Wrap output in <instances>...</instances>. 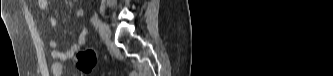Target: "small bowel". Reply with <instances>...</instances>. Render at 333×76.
<instances>
[{
	"mask_svg": "<svg viewBox=\"0 0 333 76\" xmlns=\"http://www.w3.org/2000/svg\"><path fill=\"white\" fill-rule=\"evenodd\" d=\"M37 5L41 9H47L49 5V1L47 0H37ZM84 14V10L82 8H79L75 12L76 18H81ZM48 23L51 25L52 28L55 30L57 29V20L55 17H49ZM87 34L88 31L86 27L81 26L80 34L77 38V41L73 43L69 48H67L65 51H60L58 49V41L57 40H51L49 42V47L51 49L50 55L53 60L56 61H68L71 60L75 54L79 51V49L84 46L87 42ZM52 71L54 76H61L63 74V65L60 62H55L52 65Z\"/></svg>",
	"mask_w": 333,
	"mask_h": 76,
	"instance_id": "small-bowel-1",
	"label": "small bowel"
}]
</instances>
